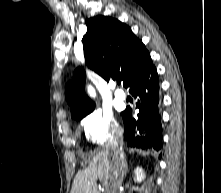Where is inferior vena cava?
Returning a JSON list of instances; mask_svg holds the SVG:
<instances>
[{
    "label": "inferior vena cava",
    "mask_w": 221,
    "mask_h": 193,
    "mask_svg": "<svg viewBox=\"0 0 221 193\" xmlns=\"http://www.w3.org/2000/svg\"><path fill=\"white\" fill-rule=\"evenodd\" d=\"M123 134L117 131L108 144V148L114 154V170L111 178L109 193H117L120 188L126 169V161L123 154Z\"/></svg>",
    "instance_id": "obj_1"
}]
</instances>
